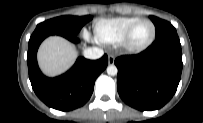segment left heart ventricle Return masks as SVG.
I'll return each mask as SVG.
<instances>
[{"instance_id": "left-heart-ventricle-1", "label": "left heart ventricle", "mask_w": 203, "mask_h": 123, "mask_svg": "<svg viewBox=\"0 0 203 123\" xmlns=\"http://www.w3.org/2000/svg\"><path fill=\"white\" fill-rule=\"evenodd\" d=\"M152 26L148 22H142L134 29L130 43L134 46H140L145 44L152 36Z\"/></svg>"}]
</instances>
